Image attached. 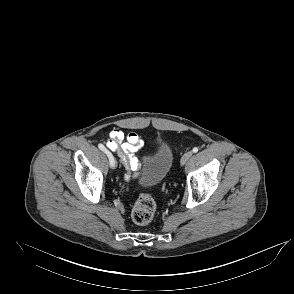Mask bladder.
I'll use <instances>...</instances> for the list:
<instances>
[{"label": "bladder", "instance_id": "obj_1", "mask_svg": "<svg viewBox=\"0 0 294 294\" xmlns=\"http://www.w3.org/2000/svg\"><path fill=\"white\" fill-rule=\"evenodd\" d=\"M173 150L166 141H161L154 153L147 159L140 182L154 186L161 183L168 175L173 164Z\"/></svg>", "mask_w": 294, "mask_h": 294}]
</instances>
